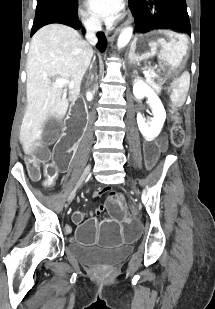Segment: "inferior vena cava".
<instances>
[{
  "label": "inferior vena cava",
  "instance_id": "1",
  "mask_svg": "<svg viewBox=\"0 0 215 309\" xmlns=\"http://www.w3.org/2000/svg\"><path fill=\"white\" fill-rule=\"evenodd\" d=\"M84 26L86 28V38L89 40L90 44H96L98 38L96 36V32H99V30H102V24L100 18L98 16H90L86 22H84ZM87 96L90 94V98L88 100H91L92 98V92L91 90H87L86 92Z\"/></svg>",
  "mask_w": 215,
  "mask_h": 309
}]
</instances>
